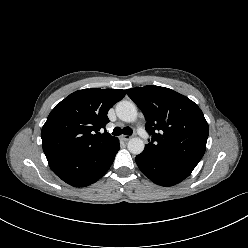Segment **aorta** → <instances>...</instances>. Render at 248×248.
Instances as JSON below:
<instances>
[{
	"mask_svg": "<svg viewBox=\"0 0 248 248\" xmlns=\"http://www.w3.org/2000/svg\"><path fill=\"white\" fill-rule=\"evenodd\" d=\"M116 113L119 119L124 122L132 123L137 119V108L130 101H120L116 106ZM128 150L135 155L143 152L145 144L140 138H132L128 141Z\"/></svg>",
	"mask_w": 248,
	"mask_h": 248,
	"instance_id": "obj_1",
	"label": "aorta"
}]
</instances>
